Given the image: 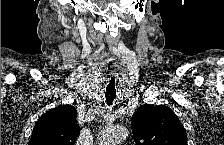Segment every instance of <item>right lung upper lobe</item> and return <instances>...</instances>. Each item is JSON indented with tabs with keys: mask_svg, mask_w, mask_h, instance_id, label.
<instances>
[{
	"mask_svg": "<svg viewBox=\"0 0 224 145\" xmlns=\"http://www.w3.org/2000/svg\"><path fill=\"white\" fill-rule=\"evenodd\" d=\"M76 114L71 105L49 110L36 122L29 145H72L80 133Z\"/></svg>",
	"mask_w": 224,
	"mask_h": 145,
	"instance_id": "obj_1",
	"label": "right lung upper lobe"
}]
</instances>
